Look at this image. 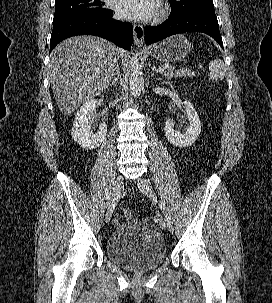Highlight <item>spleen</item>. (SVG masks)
Listing matches in <instances>:
<instances>
[{"label": "spleen", "instance_id": "obj_1", "mask_svg": "<svg viewBox=\"0 0 272 303\" xmlns=\"http://www.w3.org/2000/svg\"><path fill=\"white\" fill-rule=\"evenodd\" d=\"M209 79L218 81L219 79H223L225 76V65L221 59H214L209 63Z\"/></svg>", "mask_w": 272, "mask_h": 303}]
</instances>
